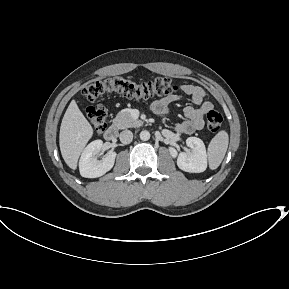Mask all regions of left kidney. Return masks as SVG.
<instances>
[{
  "label": "left kidney",
  "mask_w": 289,
  "mask_h": 289,
  "mask_svg": "<svg viewBox=\"0 0 289 289\" xmlns=\"http://www.w3.org/2000/svg\"><path fill=\"white\" fill-rule=\"evenodd\" d=\"M187 146L190 148L188 152L177 153L174 148H169L173 158L177 157L178 167L189 173H201L207 168V153L203 141L197 137H188Z\"/></svg>",
  "instance_id": "5707ae66"
}]
</instances>
